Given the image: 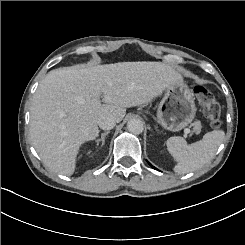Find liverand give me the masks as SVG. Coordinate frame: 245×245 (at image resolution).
<instances>
[{
  "mask_svg": "<svg viewBox=\"0 0 245 245\" xmlns=\"http://www.w3.org/2000/svg\"><path fill=\"white\" fill-rule=\"evenodd\" d=\"M182 75L163 62L73 65L51 70L34 93L30 135L44 165L69 176L79 144L98 135V119L120 122L126 108L151 101ZM100 93L106 105L93 103Z\"/></svg>",
  "mask_w": 245,
  "mask_h": 245,
  "instance_id": "liver-1",
  "label": "liver"
}]
</instances>
